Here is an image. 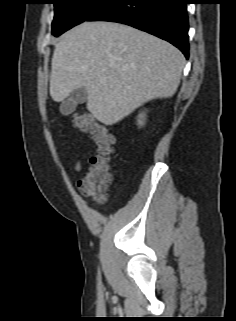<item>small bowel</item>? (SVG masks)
Here are the masks:
<instances>
[{
	"mask_svg": "<svg viewBox=\"0 0 236 321\" xmlns=\"http://www.w3.org/2000/svg\"><path fill=\"white\" fill-rule=\"evenodd\" d=\"M81 167H82L81 162L78 161V162L76 163V165H75V169H76L77 171H79V170H81Z\"/></svg>",
	"mask_w": 236,
	"mask_h": 321,
	"instance_id": "c3829d8e",
	"label": "small bowel"
}]
</instances>
